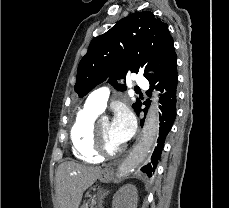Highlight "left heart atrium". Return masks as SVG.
<instances>
[{
  "instance_id": "1",
  "label": "left heart atrium",
  "mask_w": 229,
  "mask_h": 208,
  "mask_svg": "<svg viewBox=\"0 0 229 208\" xmlns=\"http://www.w3.org/2000/svg\"><path fill=\"white\" fill-rule=\"evenodd\" d=\"M112 134L120 143L128 141L134 134L136 121L132 111L126 106H120L112 121Z\"/></svg>"
}]
</instances>
